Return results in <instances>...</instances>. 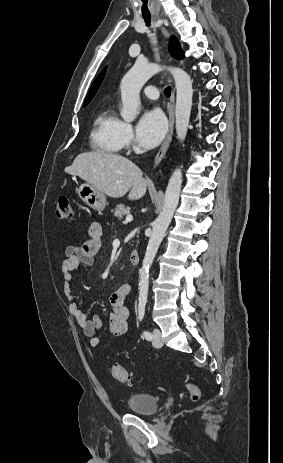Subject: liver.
<instances>
[{"instance_id":"6515ba94","label":"liver","mask_w":283,"mask_h":463,"mask_svg":"<svg viewBox=\"0 0 283 463\" xmlns=\"http://www.w3.org/2000/svg\"><path fill=\"white\" fill-rule=\"evenodd\" d=\"M64 171L80 177L112 198L123 197L129 192V200H138L147 190V181L143 178L141 169L118 154L81 153Z\"/></svg>"}]
</instances>
